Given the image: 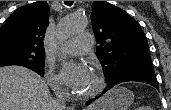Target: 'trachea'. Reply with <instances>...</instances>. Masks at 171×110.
Masks as SVG:
<instances>
[{"instance_id": "1", "label": "trachea", "mask_w": 171, "mask_h": 110, "mask_svg": "<svg viewBox=\"0 0 171 110\" xmlns=\"http://www.w3.org/2000/svg\"><path fill=\"white\" fill-rule=\"evenodd\" d=\"M64 3H65L67 6H71V5L74 3V1H64Z\"/></svg>"}]
</instances>
